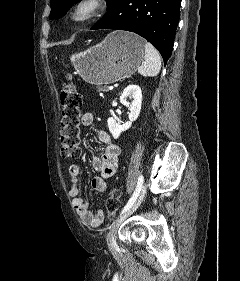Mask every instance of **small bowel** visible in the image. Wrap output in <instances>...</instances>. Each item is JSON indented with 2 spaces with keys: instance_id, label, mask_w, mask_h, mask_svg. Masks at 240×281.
Wrapping results in <instances>:
<instances>
[{
  "instance_id": "small-bowel-1",
  "label": "small bowel",
  "mask_w": 240,
  "mask_h": 281,
  "mask_svg": "<svg viewBox=\"0 0 240 281\" xmlns=\"http://www.w3.org/2000/svg\"><path fill=\"white\" fill-rule=\"evenodd\" d=\"M94 122V115L91 112H85L81 117V124L85 127L91 126ZM98 139L103 148L100 157L93 160V167L98 173L92 181L91 186L94 191L102 193L107 188V180L112 177L118 167V158L120 155V147L113 142L111 136L104 130L98 131ZM71 180L70 196L72 197L73 205L79 214L82 222L92 228L101 225L104 219L103 211L93 212L88 202L81 196L79 189V181L81 169L78 165L72 164L69 169Z\"/></svg>"
}]
</instances>
